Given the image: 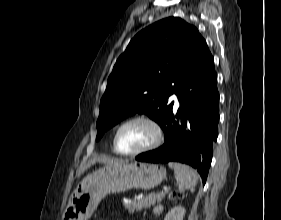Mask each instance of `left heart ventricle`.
<instances>
[{"instance_id":"1","label":"left heart ventricle","mask_w":281,"mask_h":220,"mask_svg":"<svg viewBox=\"0 0 281 220\" xmlns=\"http://www.w3.org/2000/svg\"><path fill=\"white\" fill-rule=\"evenodd\" d=\"M153 128L144 122H134L125 126L117 140V147L122 152L139 150L152 142Z\"/></svg>"}]
</instances>
